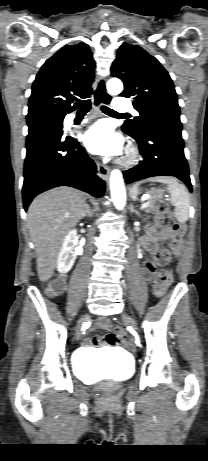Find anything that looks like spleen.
<instances>
[{
  "instance_id": "1",
  "label": "spleen",
  "mask_w": 208,
  "mask_h": 461,
  "mask_svg": "<svg viewBox=\"0 0 208 461\" xmlns=\"http://www.w3.org/2000/svg\"><path fill=\"white\" fill-rule=\"evenodd\" d=\"M151 181L167 184L170 193V203L175 207L174 214L180 223H185L189 218L190 199L189 193L184 185L180 184L176 178L170 176H159L136 183L130 190L132 199L137 197V188L140 183Z\"/></svg>"
}]
</instances>
